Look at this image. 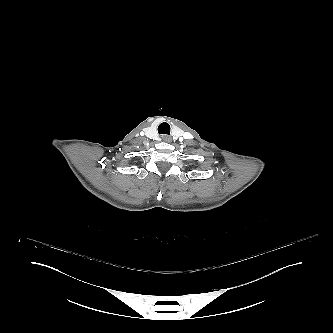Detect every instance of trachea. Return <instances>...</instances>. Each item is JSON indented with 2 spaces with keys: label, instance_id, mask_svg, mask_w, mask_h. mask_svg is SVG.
I'll list each match as a JSON object with an SVG mask.
<instances>
[{
  "label": "trachea",
  "instance_id": "obj_1",
  "mask_svg": "<svg viewBox=\"0 0 333 333\" xmlns=\"http://www.w3.org/2000/svg\"><path fill=\"white\" fill-rule=\"evenodd\" d=\"M158 133L159 134H170V125L166 122L164 123H161L159 126H158Z\"/></svg>",
  "mask_w": 333,
  "mask_h": 333
}]
</instances>
